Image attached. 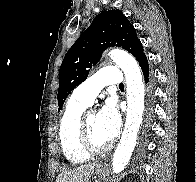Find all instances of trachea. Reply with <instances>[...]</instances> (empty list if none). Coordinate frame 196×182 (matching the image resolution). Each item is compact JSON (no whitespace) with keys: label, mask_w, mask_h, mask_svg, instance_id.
Segmentation results:
<instances>
[{"label":"trachea","mask_w":196,"mask_h":182,"mask_svg":"<svg viewBox=\"0 0 196 182\" xmlns=\"http://www.w3.org/2000/svg\"><path fill=\"white\" fill-rule=\"evenodd\" d=\"M123 86H124L123 83L119 84V87H123Z\"/></svg>","instance_id":"1"}]
</instances>
